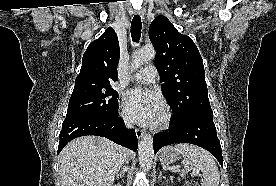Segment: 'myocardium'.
<instances>
[{
    "label": "myocardium",
    "instance_id": "myocardium-1",
    "mask_svg": "<svg viewBox=\"0 0 276 186\" xmlns=\"http://www.w3.org/2000/svg\"><path fill=\"white\" fill-rule=\"evenodd\" d=\"M171 112L167 108H163L159 119L154 124V129H165L170 125Z\"/></svg>",
    "mask_w": 276,
    "mask_h": 186
}]
</instances>
